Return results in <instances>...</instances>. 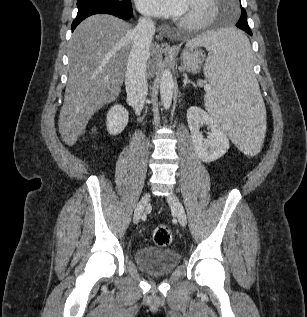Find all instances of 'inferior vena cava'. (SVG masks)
Listing matches in <instances>:
<instances>
[{"mask_svg":"<svg viewBox=\"0 0 307 317\" xmlns=\"http://www.w3.org/2000/svg\"><path fill=\"white\" fill-rule=\"evenodd\" d=\"M132 34L133 45L128 58L125 86L129 104L140 115L148 92L146 67L155 34L154 21L151 18L139 19Z\"/></svg>","mask_w":307,"mask_h":317,"instance_id":"inferior-vena-cava-1","label":"inferior vena cava"}]
</instances>
